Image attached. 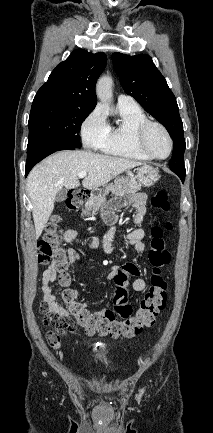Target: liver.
I'll use <instances>...</instances> for the list:
<instances>
[{
  "label": "liver",
  "mask_w": 213,
  "mask_h": 433,
  "mask_svg": "<svg viewBox=\"0 0 213 433\" xmlns=\"http://www.w3.org/2000/svg\"><path fill=\"white\" fill-rule=\"evenodd\" d=\"M141 165L129 159L96 154L91 151H60L36 165L28 175L27 187L33 206L36 238H39L53 209L57 193L63 187L80 186L78 174L86 172L82 185L96 190L126 170Z\"/></svg>",
  "instance_id": "liver-1"
}]
</instances>
